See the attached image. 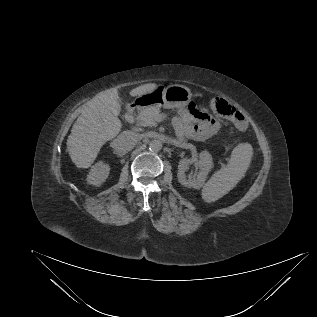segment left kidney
<instances>
[{
    "instance_id": "obj_1",
    "label": "left kidney",
    "mask_w": 317,
    "mask_h": 317,
    "mask_svg": "<svg viewBox=\"0 0 317 317\" xmlns=\"http://www.w3.org/2000/svg\"><path fill=\"white\" fill-rule=\"evenodd\" d=\"M195 163L199 168V172L196 176L186 175L185 172L188 169L189 164ZM213 167L212 157L209 152L202 151L199 154V160L194 161L193 159L184 158L179 161L178 165V181L181 185L188 188L200 189L203 187L207 175L211 168Z\"/></svg>"
}]
</instances>
